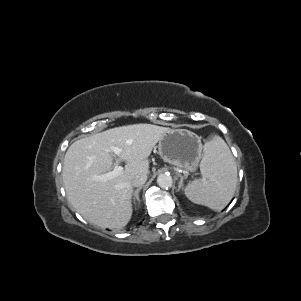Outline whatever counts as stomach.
<instances>
[{
	"mask_svg": "<svg viewBox=\"0 0 301 301\" xmlns=\"http://www.w3.org/2000/svg\"><path fill=\"white\" fill-rule=\"evenodd\" d=\"M201 138L187 129H169L159 140L161 158L190 172L196 171L202 158Z\"/></svg>",
	"mask_w": 301,
	"mask_h": 301,
	"instance_id": "obj_1",
	"label": "stomach"
}]
</instances>
